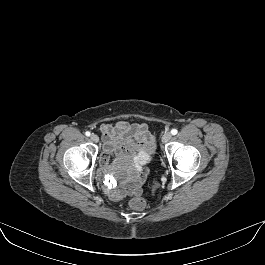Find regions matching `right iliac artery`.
Returning <instances> with one entry per match:
<instances>
[{
  "label": "right iliac artery",
  "mask_w": 265,
  "mask_h": 265,
  "mask_svg": "<svg viewBox=\"0 0 265 265\" xmlns=\"http://www.w3.org/2000/svg\"><path fill=\"white\" fill-rule=\"evenodd\" d=\"M85 135H86V136H90L91 133H90L89 131H86V132H85Z\"/></svg>",
  "instance_id": "obj_1"
}]
</instances>
